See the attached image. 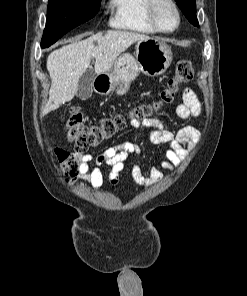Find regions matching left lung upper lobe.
I'll return each instance as SVG.
<instances>
[{
	"label": "left lung upper lobe",
	"mask_w": 247,
	"mask_h": 296,
	"mask_svg": "<svg viewBox=\"0 0 247 296\" xmlns=\"http://www.w3.org/2000/svg\"><path fill=\"white\" fill-rule=\"evenodd\" d=\"M184 13V15L187 17L190 23H192L195 26L198 25V20L196 17V2L195 0H175Z\"/></svg>",
	"instance_id": "left-lung-upper-lobe-1"
}]
</instances>
